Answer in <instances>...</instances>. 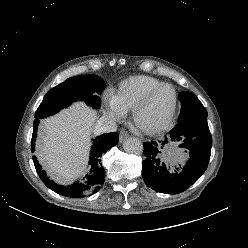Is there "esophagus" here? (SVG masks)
Wrapping results in <instances>:
<instances>
[{
	"mask_svg": "<svg viewBox=\"0 0 248 248\" xmlns=\"http://www.w3.org/2000/svg\"><path fill=\"white\" fill-rule=\"evenodd\" d=\"M128 137H129V133L125 129L120 130V133H119L120 142H123Z\"/></svg>",
	"mask_w": 248,
	"mask_h": 248,
	"instance_id": "1",
	"label": "esophagus"
}]
</instances>
